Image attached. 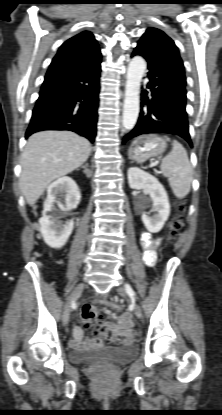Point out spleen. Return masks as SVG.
Wrapping results in <instances>:
<instances>
[{"label":"spleen","instance_id":"obj_1","mask_svg":"<svg viewBox=\"0 0 222 415\" xmlns=\"http://www.w3.org/2000/svg\"><path fill=\"white\" fill-rule=\"evenodd\" d=\"M172 145V151L162 159L160 169L168 178L174 195L182 199L190 192L193 170L185 148L176 140Z\"/></svg>","mask_w":222,"mask_h":415}]
</instances>
